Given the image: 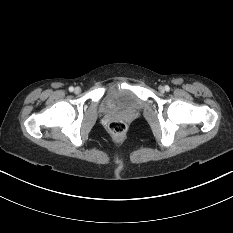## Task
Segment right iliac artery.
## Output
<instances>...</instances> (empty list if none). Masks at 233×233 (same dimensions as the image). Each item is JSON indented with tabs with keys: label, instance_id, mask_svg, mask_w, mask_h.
Listing matches in <instances>:
<instances>
[{
	"label": "right iliac artery",
	"instance_id": "82829eb1",
	"mask_svg": "<svg viewBox=\"0 0 233 233\" xmlns=\"http://www.w3.org/2000/svg\"><path fill=\"white\" fill-rule=\"evenodd\" d=\"M69 91L70 92H73L74 91V88L72 86L69 87Z\"/></svg>",
	"mask_w": 233,
	"mask_h": 233
}]
</instances>
